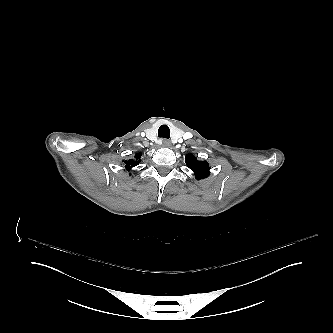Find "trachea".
I'll return each mask as SVG.
<instances>
[{"label": "trachea", "mask_w": 333, "mask_h": 333, "mask_svg": "<svg viewBox=\"0 0 333 333\" xmlns=\"http://www.w3.org/2000/svg\"><path fill=\"white\" fill-rule=\"evenodd\" d=\"M158 136L160 138H167L169 139L170 137V130L167 125H161L158 129Z\"/></svg>", "instance_id": "trachea-1"}]
</instances>
